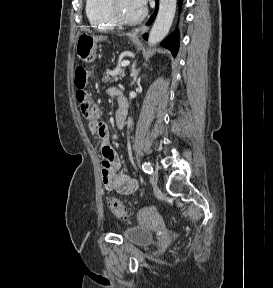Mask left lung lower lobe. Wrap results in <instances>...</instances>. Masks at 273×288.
Segmentation results:
<instances>
[{"instance_id":"obj_1","label":"left lung lower lobe","mask_w":273,"mask_h":288,"mask_svg":"<svg viewBox=\"0 0 273 288\" xmlns=\"http://www.w3.org/2000/svg\"><path fill=\"white\" fill-rule=\"evenodd\" d=\"M158 1L159 0H156V10H155L154 14L152 15V17L150 18V20L148 21V24H150L156 16L157 9H158ZM179 2L181 4L182 0H179ZM144 38L147 39V34L144 35ZM161 45L165 48H168L172 52L173 56L175 57L177 54L178 48H179V33H178V31H175L169 37H167L161 43Z\"/></svg>"}]
</instances>
